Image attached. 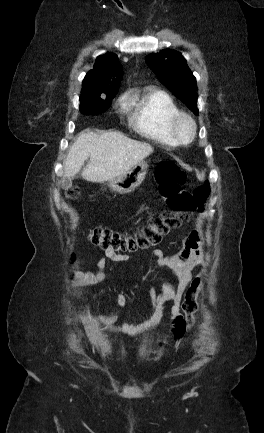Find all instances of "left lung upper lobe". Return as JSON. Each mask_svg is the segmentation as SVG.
<instances>
[{
	"label": "left lung upper lobe",
	"mask_w": 264,
	"mask_h": 433,
	"mask_svg": "<svg viewBox=\"0 0 264 433\" xmlns=\"http://www.w3.org/2000/svg\"><path fill=\"white\" fill-rule=\"evenodd\" d=\"M146 62L161 83L198 114L196 78L181 53L166 49L158 54L148 55Z\"/></svg>",
	"instance_id": "1"
}]
</instances>
